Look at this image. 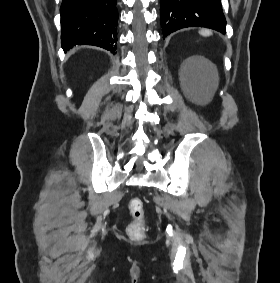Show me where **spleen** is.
<instances>
[{"label":"spleen","mask_w":280,"mask_h":283,"mask_svg":"<svg viewBox=\"0 0 280 283\" xmlns=\"http://www.w3.org/2000/svg\"><path fill=\"white\" fill-rule=\"evenodd\" d=\"M199 33H200V35H202L204 37H208V36L212 35V32L210 30H206V29H202L201 31H199ZM217 82H218V74H217L216 70L214 69V76L210 80H208L209 87L212 90L215 89L216 86H217Z\"/></svg>","instance_id":"3e777b00"}]
</instances>
